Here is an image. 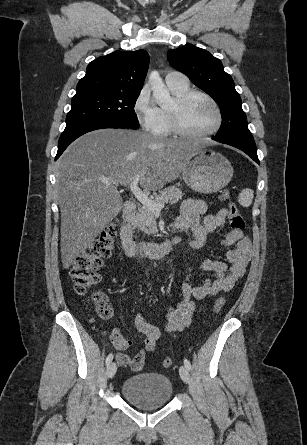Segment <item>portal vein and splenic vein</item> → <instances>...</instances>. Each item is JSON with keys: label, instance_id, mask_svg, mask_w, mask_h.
I'll return each mask as SVG.
<instances>
[{"label": "portal vein and splenic vein", "instance_id": "portal-vein-and-splenic-vein-1", "mask_svg": "<svg viewBox=\"0 0 307 445\" xmlns=\"http://www.w3.org/2000/svg\"><path fill=\"white\" fill-rule=\"evenodd\" d=\"M141 176H144V174H136L134 178H132L129 186L130 190H132V194H134L135 198L137 200H140L144 206H149L150 210H153L155 214H160L162 208H164L165 204L164 202H160V204H156L155 200H152V198H149V194H146V192H143L141 188L138 186V182L141 178ZM102 182H107L109 184L108 180H102Z\"/></svg>", "mask_w": 307, "mask_h": 445}]
</instances>
